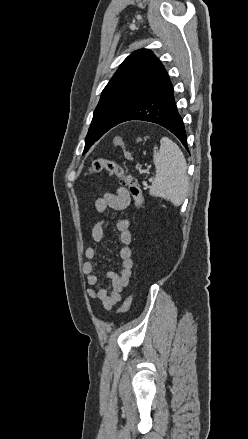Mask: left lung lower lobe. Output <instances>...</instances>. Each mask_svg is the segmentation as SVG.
I'll return each mask as SVG.
<instances>
[{"mask_svg":"<svg viewBox=\"0 0 248 439\" xmlns=\"http://www.w3.org/2000/svg\"><path fill=\"white\" fill-rule=\"evenodd\" d=\"M173 92L172 83L165 71L119 123L142 120L159 124L172 132L188 149L184 123L177 111Z\"/></svg>","mask_w":248,"mask_h":439,"instance_id":"0a47b994","label":"left lung lower lobe"}]
</instances>
